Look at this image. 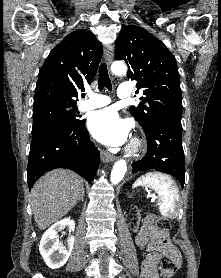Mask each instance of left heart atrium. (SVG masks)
Wrapping results in <instances>:
<instances>
[{
  "label": "left heart atrium",
  "instance_id": "left-heart-atrium-1",
  "mask_svg": "<svg viewBox=\"0 0 221 278\" xmlns=\"http://www.w3.org/2000/svg\"><path fill=\"white\" fill-rule=\"evenodd\" d=\"M91 134L101 143L109 146H120L128 138L130 127L112 108L92 113L88 120Z\"/></svg>",
  "mask_w": 221,
  "mask_h": 278
}]
</instances>
